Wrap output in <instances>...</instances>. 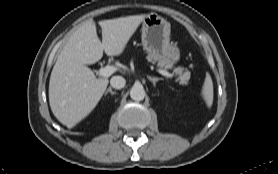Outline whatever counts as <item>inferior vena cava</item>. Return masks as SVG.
<instances>
[{"instance_id": "inferior-vena-cava-1", "label": "inferior vena cava", "mask_w": 278, "mask_h": 174, "mask_svg": "<svg viewBox=\"0 0 278 174\" xmlns=\"http://www.w3.org/2000/svg\"><path fill=\"white\" fill-rule=\"evenodd\" d=\"M125 79L122 76H113L110 80V84L115 89H122L125 86Z\"/></svg>"}]
</instances>
